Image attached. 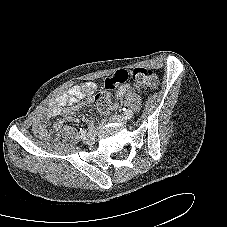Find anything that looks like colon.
<instances>
[{
  "instance_id": "1",
  "label": "colon",
  "mask_w": 227,
  "mask_h": 227,
  "mask_svg": "<svg viewBox=\"0 0 227 227\" xmlns=\"http://www.w3.org/2000/svg\"><path fill=\"white\" fill-rule=\"evenodd\" d=\"M129 78L147 89H155L159 85V78L151 69L135 67L130 70H117L105 80L103 89L95 96V103L98 109L104 112L108 111L111 102V90L125 83Z\"/></svg>"
}]
</instances>
